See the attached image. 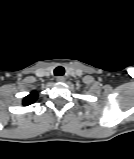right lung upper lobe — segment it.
Here are the masks:
<instances>
[{
	"label": "right lung upper lobe",
	"instance_id": "obj_1",
	"mask_svg": "<svg viewBox=\"0 0 134 159\" xmlns=\"http://www.w3.org/2000/svg\"><path fill=\"white\" fill-rule=\"evenodd\" d=\"M37 96H38V94H37L36 91L31 92L28 96H26V97L24 98L23 104H24L25 106L32 104V103L35 102V100L37 99Z\"/></svg>",
	"mask_w": 134,
	"mask_h": 159
}]
</instances>
